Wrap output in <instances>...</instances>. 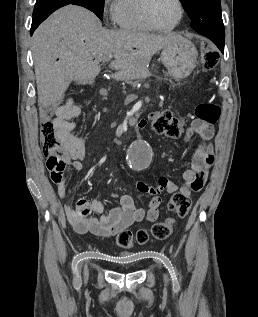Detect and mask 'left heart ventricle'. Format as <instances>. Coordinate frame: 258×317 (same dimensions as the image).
Wrapping results in <instances>:
<instances>
[{"label":"left heart ventricle","instance_id":"obj_1","mask_svg":"<svg viewBox=\"0 0 258 317\" xmlns=\"http://www.w3.org/2000/svg\"><path fill=\"white\" fill-rule=\"evenodd\" d=\"M179 9L175 0H155L150 9L152 22L159 27H170L178 19Z\"/></svg>","mask_w":258,"mask_h":317}]
</instances>
